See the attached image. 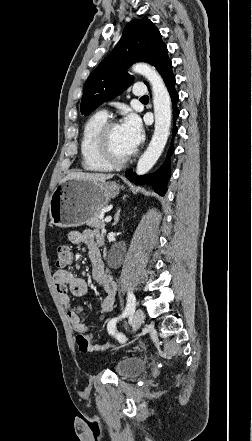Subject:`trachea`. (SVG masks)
I'll return each mask as SVG.
<instances>
[{"instance_id":"1","label":"trachea","mask_w":252,"mask_h":441,"mask_svg":"<svg viewBox=\"0 0 252 441\" xmlns=\"http://www.w3.org/2000/svg\"><path fill=\"white\" fill-rule=\"evenodd\" d=\"M146 99H149V97L148 96H143V97H141L140 100H146Z\"/></svg>"}]
</instances>
